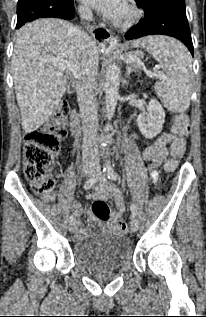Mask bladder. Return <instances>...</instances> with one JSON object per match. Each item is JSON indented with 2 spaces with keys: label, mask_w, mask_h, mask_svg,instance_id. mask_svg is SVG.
<instances>
[{
  "label": "bladder",
  "mask_w": 206,
  "mask_h": 317,
  "mask_svg": "<svg viewBox=\"0 0 206 317\" xmlns=\"http://www.w3.org/2000/svg\"><path fill=\"white\" fill-rule=\"evenodd\" d=\"M133 255L132 242L120 234L86 237L74 244L73 257L87 270L118 269Z\"/></svg>",
  "instance_id": "1"
}]
</instances>
